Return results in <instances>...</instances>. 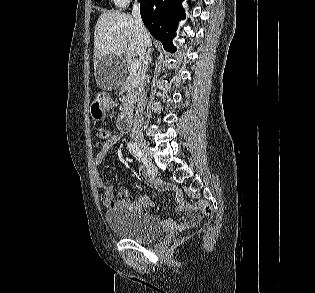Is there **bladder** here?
<instances>
[{
  "label": "bladder",
  "instance_id": "1",
  "mask_svg": "<svg viewBox=\"0 0 315 293\" xmlns=\"http://www.w3.org/2000/svg\"><path fill=\"white\" fill-rule=\"evenodd\" d=\"M105 217L111 231L126 239L147 243L162 234L160 223L154 217L129 207L110 209Z\"/></svg>",
  "mask_w": 315,
  "mask_h": 293
}]
</instances>
